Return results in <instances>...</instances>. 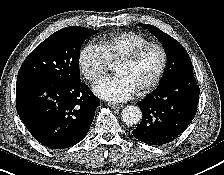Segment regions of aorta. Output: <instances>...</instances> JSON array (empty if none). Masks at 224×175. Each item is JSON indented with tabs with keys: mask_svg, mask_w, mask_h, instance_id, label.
<instances>
[{
	"mask_svg": "<svg viewBox=\"0 0 224 175\" xmlns=\"http://www.w3.org/2000/svg\"><path fill=\"white\" fill-rule=\"evenodd\" d=\"M142 112L139 107L130 105L122 111V120L128 125H136L141 121Z\"/></svg>",
	"mask_w": 224,
	"mask_h": 175,
	"instance_id": "aorta-1",
	"label": "aorta"
}]
</instances>
